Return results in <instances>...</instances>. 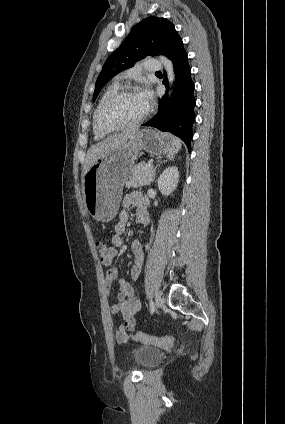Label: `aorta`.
I'll return each mask as SVG.
<instances>
[{
	"label": "aorta",
	"instance_id": "aorta-1",
	"mask_svg": "<svg viewBox=\"0 0 285 424\" xmlns=\"http://www.w3.org/2000/svg\"><path fill=\"white\" fill-rule=\"evenodd\" d=\"M159 59L161 61V63L163 64L166 73H167V78L170 84V87L173 85V82L175 80V74H174V69H173V64L171 62V60H169L167 57L165 56H159ZM172 90L169 91V94H171Z\"/></svg>",
	"mask_w": 285,
	"mask_h": 424
}]
</instances>
